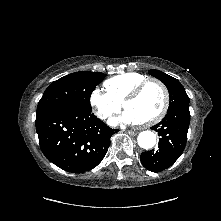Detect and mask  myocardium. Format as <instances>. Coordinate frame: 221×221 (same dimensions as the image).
<instances>
[{"label":"myocardium","mask_w":221,"mask_h":221,"mask_svg":"<svg viewBox=\"0 0 221 221\" xmlns=\"http://www.w3.org/2000/svg\"><path fill=\"white\" fill-rule=\"evenodd\" d=\"M150 84H155L159 87V89L162 92L163 95V104L159 112L153 116L152 118L137 123L139 127H151L158 122H160L164 116L166 115L168 108H169V102H170V97H169V92L166 88V86L160 82L159 80L156 79H146L145 81L141 82L139 85H137L122 101V107L125 109V105L128 101L134 100L140 96V94L143 92V90Z\"/></svg>","instance_id":"f54148a6"}]
</instances>
